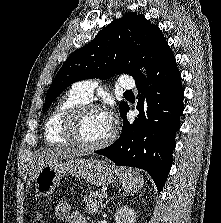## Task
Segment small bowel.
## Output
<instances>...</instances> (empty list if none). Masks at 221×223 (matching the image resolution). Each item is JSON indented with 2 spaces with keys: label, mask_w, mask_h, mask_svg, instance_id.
<instances>
[{
  "label": "small bowel",
  "mask_w": 221,
  "mask_h": 223,
  "mask_svg": "<svg viewBox=\"0 0 221 223\" xmlns=\"http://www.w3.org/2000/svg\"><path fill=\"white\" fill-rule=\"evenodd\" d=\"M55 214L61 223H88L80 212H71L70 205L67 202H59L56 205Z\"/></svg>",
  "instance_id": "1"
}]
</instances>
